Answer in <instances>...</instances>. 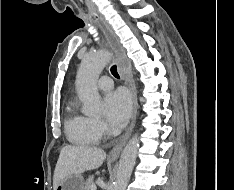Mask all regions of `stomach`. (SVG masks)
I'll return each mask as SVG.
<instances>
[{
  "label": "stomach",
  "mask_w": 234,
  "mask_h": 190,
  "mask_svg": "<svg viewBox=\"0 0 234 190\" xmlns=\"http://www.w3.org/2000/svg\"><path fill=\"white\" fill-rule=\"evenodd\" d=\"M56 190H84V178L80 174H72L64 178Z\"/></svg>",
  "instance_id": "1"
}]
</instances>
